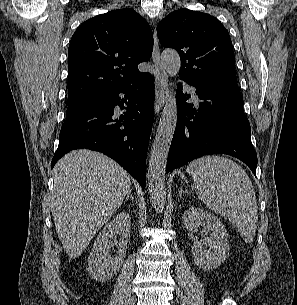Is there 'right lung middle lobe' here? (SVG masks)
I'll list each match as a JSON object with an SVG mask.
<instances>
[{
	"instance_id": "1",
	"label": "right lung middle lobe",
	"mask_w": 297,
	"mask_h": 305,
	"mask_svg": "<svg viewBox=\"0 0 297 305\" xmlns=\"http://www.w3.org/2000/svg\"><path fill=\"white\" fill-rule=\"evenodd\" d=\"M103 96H97L92 98H87L79 101H75L72 103H68L67 111H66V118L71 117L84 109L88 108L91 105H94L101 101Z\"/></svg>"
}]
</instances>
